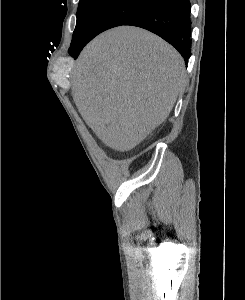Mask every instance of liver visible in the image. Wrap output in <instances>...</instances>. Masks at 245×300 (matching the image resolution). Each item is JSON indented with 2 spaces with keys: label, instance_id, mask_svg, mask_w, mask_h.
<instances>
[{
  "label": "liver",
  "instance_id": "6515ba94",
  "mask_svg": "<svg viewBox=\"0 0 245 300\" xmlns=\"http://www.w3.org/2000/svg\"><path fill=\"white\" fill-rule=\"evenodd\" d=\"M185 81L180 54L157 35L132 26L93 39L71 75L80 115L105 145L121 152L164 122Z\"/></svg>",
  "mask_w": 245,
  "mask_h": 300
}]
</instances>
